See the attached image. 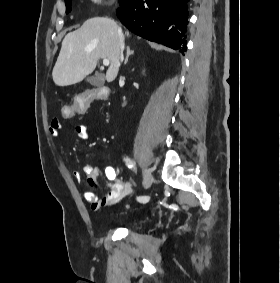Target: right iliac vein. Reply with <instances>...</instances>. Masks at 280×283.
Here are the masks:
<instances>
[{"instance_id":"right-iliac-vein-1","label":"right iliac vein","mask_w":280,"mask_h":283,"mask_svg":"<svg viewBox=\"0 0 280 283\" xmlns=\"http://www.w3.org/2000/svg\"><path fill=\"white\" fill-rule=\"evenodd\" d=\"M152 183V174L150 169H145L143 173V186L149 188Z\"/></svg>"}]
</instances>
